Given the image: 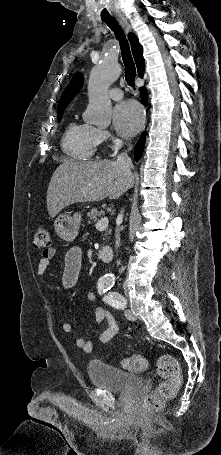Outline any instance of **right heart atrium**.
Wrapping results in <instances>:
<instances>
[{"instance_id": "1", "label": "right heart atrium", "mask_w": 221, "mask_h": 455, "mask_svg": "<svg viewBox=\"0 0 221 455\" xmlns=\"http://www.w3.org/2000/svg\"><path fill=\"white\" fill-rule=\"evenodd\" d=\"M112 140L109 132L104 129H96V141L97 144H105Z\"/></svg>"}]
</instances>
